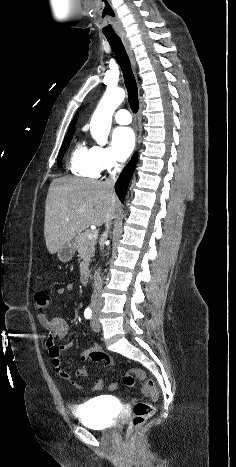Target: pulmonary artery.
<instances>
[{"instance_id":"1","label":"pulmonary artery","mask_w":236,"mask_h":467,"mask_svg":"<svg viewBox=\"0 0 236 467\" xmlns=\"http://www.w3.org/2000/svg\"><path fill=\"white\" fill-rule=\"evenodd\" d=\"M114 118L117 123L123 125L130 124L132 121L131 114L126 109H121L117 111Z\"/></svg>"}]
</instances>
